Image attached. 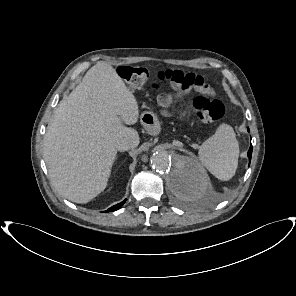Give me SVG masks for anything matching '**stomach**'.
Returning <instances> with one entry per match:
<instances>
[{"label":"stomach","instance_id":"stomach-1","mask_svg":"<svg viewBox=\"0 0 296 296\" xmlns=\"http://www.w3.org/2000/svg\"><path fill=\"white\" fill-rule=\"evenodd\" d=\"M141 123L151 133H158L160 126L157 117L152 112H144L141 115Z\"/></svg>","mask_w":296,"mask_h":296}]
</instances>
